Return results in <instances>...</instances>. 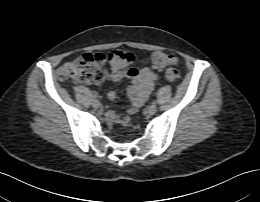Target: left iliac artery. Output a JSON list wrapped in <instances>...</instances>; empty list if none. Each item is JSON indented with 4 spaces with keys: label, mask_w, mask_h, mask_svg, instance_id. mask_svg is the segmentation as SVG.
<instances>
[{
    "label": "left iliac artery",
    "mask_w": 260,
    "mask_h": 202,
    "mask_svg": "<svg viewBox=\"0 0 260 202\" xmlns=\"http://www.w3.org/2000/svg\"><path fill=\"white\" fill-rule=\"evenodd\" d=\"M152 104H156V101H155V100H153V101H152Z\"/></svg>",
    "instance_id": "left-iliac-artery-1"
}]
</instances>
